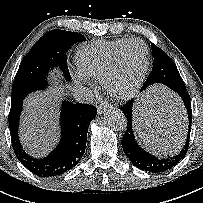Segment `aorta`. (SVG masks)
<instances>
[{"mask_svg":"<svg viewBox=\"0 0 203 203\" xmlns=\"http://www.w3.org/2000/svg\"><path fill=\"white\" fill-rule=\"evenodd\" d=\"M105 124L114 131H123L127 127V119L122 111L110 109L104 115Z\"/></svg>","mask_w":203,"mask_h":203,"instance_id":"obj_1","label":"aorta"}]
</instances>
